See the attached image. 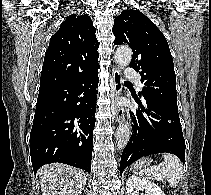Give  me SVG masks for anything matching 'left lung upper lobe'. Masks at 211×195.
Masks as SVG:
<instances>
[{
    "label": "left lung upper lobe",
    "mask_w": 211,
    "mask_h": 195,
    "mask_svg": "<svg viewBox=\"0 0 211 195\" xmlns=\"http://www.w3.org/2000/svg\"><path fill=\"white\" fill-rule=\"evenodd\" d=\"M114 45L127 44L133 51L130 67L144 84L139 97L178 110L176 75L167 40L154 23L138 10H124L115 18Z\"/></svg>",
    "instance_id": "left-lung-upper-lobe-1"
}]
</instances>
